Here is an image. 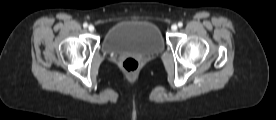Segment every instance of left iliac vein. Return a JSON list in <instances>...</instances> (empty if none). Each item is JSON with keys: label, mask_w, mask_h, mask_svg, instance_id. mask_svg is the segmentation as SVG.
Here are the masks:
<instances>
[{"label": "left iliac vein", "mask_w": 276, "mask_h": 120, "mask_svg": "<svg viewBox=\"0 0 276 120\" xmlns=\"http://www.w3.org/2000/svg\"><path fill=\"white\" fill-rule=\"evenodd\" d=\"M177 25L176 24H173L172 26H171V29L173 30V31H176L177 30Z\"/></svg>", "instance_id": "4c4485c4"}]
</instances>
